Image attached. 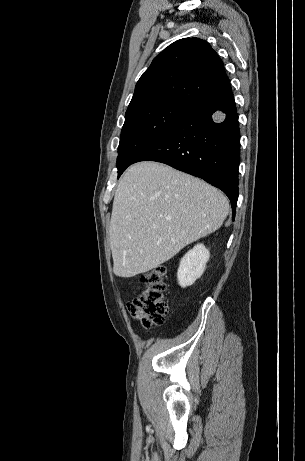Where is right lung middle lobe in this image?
Returning a JSON list of instances; mask_svg holds the SVG:
<instances>
[{
    "instance_id": "1",
    "label": "right lung middle lobe",
    "mask_w": 305,
    "mask_h": 461,
    "mask_svg": "<svg viewBox=\"0 0 305 461\" xmlns=\"http://www.w3.org/2000/svg\"><path fill=\"white\" fill-rule=\"evenodd\" d=\"M188 108L189 105L164 102L126 114L118 146V173L164 137Z\"/></svg>"
}]
</instances>
